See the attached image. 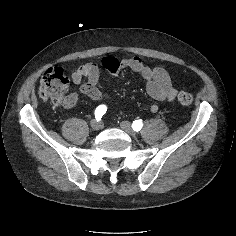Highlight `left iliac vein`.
I'll list each match as a JSON object with an SVG mask.
<instances>
[{"instance_id":"4c4485c4","label":"left iliac vein","mask_w":236,"mask_h":236,"mask_svg":"<svg viewBox=\"0 0 236 236\" xmlns=\"http://www.w3.org/2000/svg\"><path fill=\"white\" fill-rule=\"evenodd\" d=\"M120 127L123 131H125L127 134H129L130 136L135 137L137 135V133L133 130L130 122L128 121H122L120 123Z\"/></svg>"}]
</instances>
